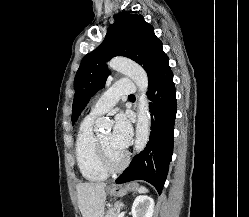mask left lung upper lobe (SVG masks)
Returning <instances> with one entry per match:
<instances>
[{
    "instance_id": "5c2ea615",
    "label": "left lung upper lobe",
    "mask_w": 249,
    "mask_h": 217,
    "mask_svg": "<svg viewBox=\"0 0 249 217\" xmlns=\"http://www.w3.org/2000/svg\"><path fill=\"white\" fill-rule=\"evenodd\" d=\"M115 56H125L140 64L149 80L167 57L163 52L162 42L154 34L153 26L142 15L117 14L104 41L83 58L76 73L72 125L89 99L104 87L109 75L105 62Z\"/></svg>"
}]
</instances>
